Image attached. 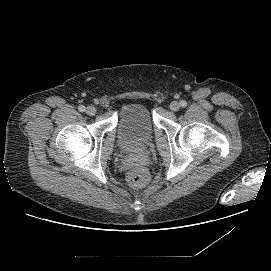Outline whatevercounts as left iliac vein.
<instances>
[{
	"label": "left iliac vein",
	"instance_id": "left-iliac-vein-1",
	"mask_svg": "<svg viewBox=\"0 0 271 271\" xmlns=\"http://www.w3.org/2000/svg\"><path fill=\"white\" fill-rule=\"evenodd\" d=\"M180 108V104L177 101H173L170 103V109L172 111H178Z\"/></svg>",
	"mask_w": 271,
	"mask_h": 271
}]
</instances>
